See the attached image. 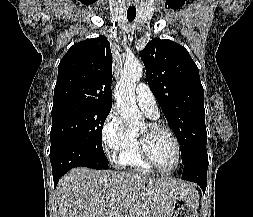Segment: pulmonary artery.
<instances>
[{
  "instance_id": "pulmonary-artery-1",
  "label": "pulmonary artery",
  "mask_w": 253,
  "mask_h": 217,
  "mask_svg": "<svg viewBox=\"0 0 253 217\" xmlns=\"http://www.w3.org/2000/svg\"><path fill=\"white\" fill-rule=\"evenodd\" d=\"M135 97L138 105L148 116L152 118L158 116L156 99L148 85L139 84L135 89Z\"/></svg>"
}]
</instances>
